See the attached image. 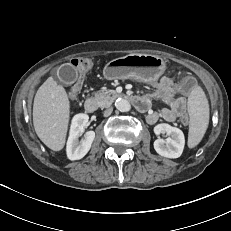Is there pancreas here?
Masks as SVG:
<instances>
[{
	"instance_id": "pancreas-1",
	"label": "pancreas",
	"mask_w": 231,
	"mask_h": 231,
	"mask_svg": "<svg viewBox=\"0 0 231 231\" xmlns=\"http://www.w3.org/2000/svg\"><path fill=\"white\" fill-rule=\"evenodd\" d=\"M116 97L118 94L115 91L96 92L94 94V99L99 107L110 106Z\"/></svg>"
}]
</instances>
